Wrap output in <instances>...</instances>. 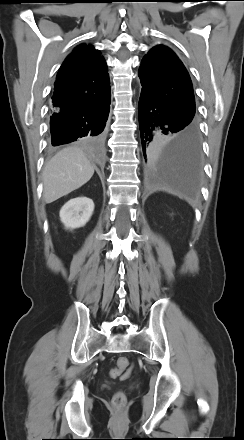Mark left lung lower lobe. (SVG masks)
Wrapping results in <instances>:
<instances>
[{"mask_svg": "<svg viewBox=\"0 0 244 440\" xmlns=\"http://www.w3.org/2000/svg\"><path fill=\"white\" fill-rule=\"evenodd\" d=\"M138 117L148 170L174 176L181 191L193 194L199 185L202 166L198 127L144 89Z\"/></svg>", "mask_w": 244, "mask_h": 440, "instance_id": "1", "label": "left lung lower lobe"}]
</instances>
